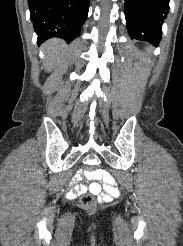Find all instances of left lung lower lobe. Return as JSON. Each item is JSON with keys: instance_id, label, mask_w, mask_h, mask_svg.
<instances>
[{"instance_id": "left-lung-lower-lobe-1", "label": "left lung lower lobe", "mask_w": 183, "mask_h": 246, "mask_svg": "<svg viewBox=\"0 0 183 246\" xmlns=\"http://www.w3.org/2000/svg\"><path fill=\"white\" fill-rule=\"evenodd\" d=\"M170 0H125V18L132 39L158 45Z\"/></svg>"}]
</instances>
